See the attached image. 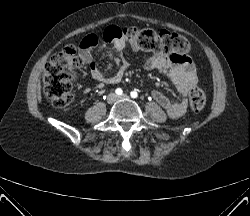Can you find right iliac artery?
<instances>
[{"mask_svg":"<svg viewBox=\"0 0 250 216\" xmlns=\"http://www.w3.org/2000/svg\"><path fill=\"white\" fill-rule=\"evenodd\" d=\"M115 93H116L117 95H122L123 91H122L121 88H117V89L115 90Z\"/></svg>","mask_w":250,"mask_h":216,"instance_id":"82829eb1","label":"right iliac artery"}]
</instances>
